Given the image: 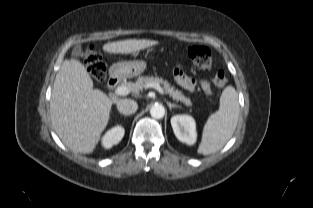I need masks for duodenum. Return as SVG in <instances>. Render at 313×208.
Here are the masks:
<instances>
[{"label": "duodenum", "instance_id": "duodenum-1", "mask_svg": "<svg viewBox=\"0 0 313 208\" xmlns=\"http://www.w3.org/2000/svg\"><path fill=\"white\" fill-rule=\"evenodd\" d=\"M120 80V75L116 69L111 71L110 77L108 79V88L110 90L114 89Z\"/></svg>", "mask_w": 313, "mask_h": 208}]
</instances>
